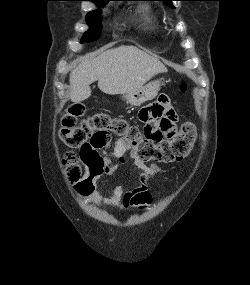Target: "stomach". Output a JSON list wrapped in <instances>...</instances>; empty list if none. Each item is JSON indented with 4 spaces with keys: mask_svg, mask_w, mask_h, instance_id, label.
Here are the masks:
<instances>
[{
    "mask_svg": "<svg viewBox=\"0 0 250 285\" xmlns=\"http://www.w3.org/2000/svg\"><path fill=\"white\" fill-rule=\"evenodd\" d=\"M160 81H152L141 88L123 94L122 98L132 106H140L143 103L154 99L160 90Z\"/></svg>",
    "mask_w": 250,
    "mask_h": 285,
    "instance_id": "1",
    "label": "stomach"
}]
</instances>
